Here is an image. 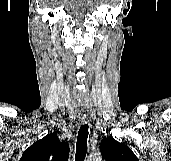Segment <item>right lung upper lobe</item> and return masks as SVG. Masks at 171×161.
<instances>
[{
  "label": "right lung upper lobe",
  "mask_w": 171,
  "mask_h": 161,
  "mask_svg": "<svg viewBox=\"0 0 171 161\" xmlns=\"http://www.w3.org/2000/svg\"><path fill=\"white\" fill-rule=\"evenodd\" d=\"M69 145L57 133H49L26 149L20 161H68Z\"/></svg>",
  "instance_id": "right-lung-upper-lobe-1"
}]
</instances>
